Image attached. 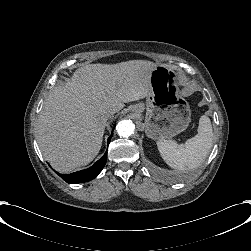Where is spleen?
Masks as SVG:
<instances>
[{
  "label": "spleen",
  "instance_id": "3e777b00",
  "mask_svg": "<svg viewBox=\"0 0 251 251\" xmlns=\"http://www.w3.org/2000/svg\"><path fill=\"white\" fill-rule=\"evenodd\" d=\"M198 133L178 147L174 140H158L159 152L169 167L188 171L197 169L209 154L213 145V128L210 117L199 118Z\"/></svg>",
  "mask_w": 251,
  "mask_h": 251
}]
</instances>
